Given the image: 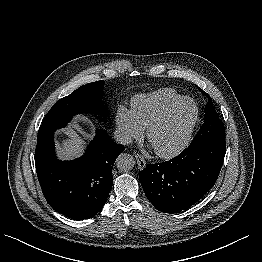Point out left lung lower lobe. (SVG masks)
Here are the masks:
<instances>
[{
	"label": "left lung lower lobe",
	"instance_id": "left-lung-lower-lobe-1",
	"mask_svg": "<svg viewBox=\"0 0 262 262\" xmlns=\"http://www.w3.org/2000/svg\"><path fill=\"white\" fill-rule=\"evenodd\" d=\"M225 153V139H211L190 144L169 161L147 164L139 176L146 197L161 212L188 209L214 186Z\"/></svg>",
	"mask_w": 262,
	"mask_h": 262
}]
</instances>
